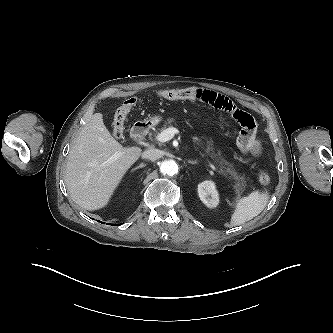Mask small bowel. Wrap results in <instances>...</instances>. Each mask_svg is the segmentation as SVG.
I'll return each instance as SVG.
<instances>
[{"label":"small bowel","mask_w":333,"mask_h":333,"mask_svg":"<svg viewBox=\"0 0 333 333\" xmlns=\"http://www.w3.org/2000/svg\"><path fill=\"white\" fill-rule=\"evenodd\" d=\"M191 89L196 94L192 100L201 101L217 110L224 111L240 124L242 130L237 139V146L242 152L252 155L259 153L260 144L255 134L256 125L254 118L249 113L240 109L229 97L221 93L200 87Z\"/></svg>","instance_id":"c3829d8e"}]
</instances>
